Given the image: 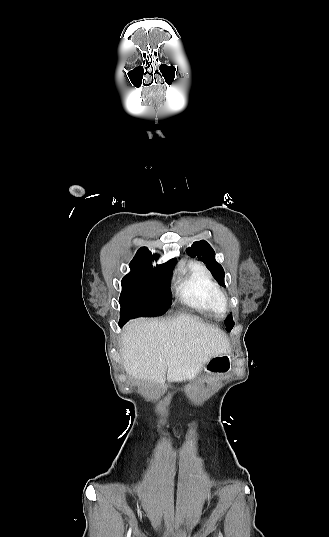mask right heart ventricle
<instances>
[{"label": "right heart ventricle", "mask_w": 329, "mask_h": 537, "mask_svg": "<svg viewBox=\"0 0 329 537\" xmlns=\"http://www.w3.org/2000/svg\"><path fill=\"white\" fill-rule=\"evenodd\" d=\"M177 294L190 307L220 315L225 312L223 292L209 271L200 263L185 268L177 283Z\"/></svg>", "instance_id": "e07e8e85"}]
</instances>
